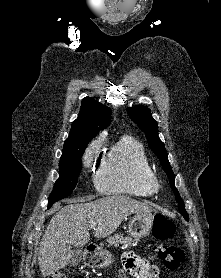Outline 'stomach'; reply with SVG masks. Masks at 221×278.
Instances as JSON below:
<instances>
[{
  "label": "stomach",
  "instance_id": "stomach-1",
  "mask_svg": "<svg viewBox=\"0 0 221 278\" xmlns=\"http://www.w3.org/2000/svg\"><path fill=\"white\" fill-rule=\"evenodd\" d=\"M154 216L151 213H137L129 223V233L132 237L139 240L148 236L153 227ZM114 262L112 254L103 249H99L91 255L88 264L93 268H104Z\"/></svg>",
  "mask_w": 221,
  "mask_h": 278
}]
</instances>
